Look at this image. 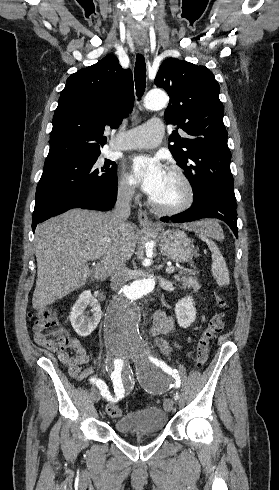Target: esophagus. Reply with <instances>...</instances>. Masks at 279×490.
I'll list each match as a JSON object with an SVG mask.
<instances>
[{
    "instance_id": "1",
    "label": "esophagus",
    "mask_w": 279,
    "mask_h": 490,
    "mask_svg": "<svg viewBox=\"0 0 279 490\" xmlns=\"http://www.w3.org/2000/svg\"><path fill=\"white\" fill-rule=\"evenodd\" d=\"M142 48H143V46H139V49L142 50ZM138 221H139L140 225H142L143 227L151 228V229H155L156 228V224H154L153 222H151L148 219L147 213L144 210H139V212H138Z\"/></svg>"
}]
</instances>
